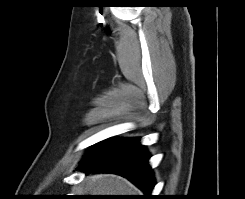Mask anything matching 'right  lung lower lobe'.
Instances as JSON below:
<instances>
[{
	"label": "right lung lower lobe",
	"instance_id": "obj_1",
	"mask_svg": "<svg viewBox=\"0 0 245 199\" xmlns=\"http://www.w3.org/2000/svg\"><path fill=\"white\" fill-rule=\"evenodd\" d=\"M149 158L139 139H111L94 146L81 160L79 168L86 173L109 172L124 176L144 192V199H153L151 192L155 182Z\"/></svg>",
	"mask_w": 245,
	"mask_h": 199
}]
</instances>
